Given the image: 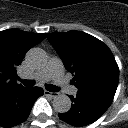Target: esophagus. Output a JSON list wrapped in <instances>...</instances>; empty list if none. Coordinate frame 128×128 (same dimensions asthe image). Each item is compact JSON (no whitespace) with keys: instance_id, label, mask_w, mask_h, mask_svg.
<instances>
[{"instance_id":"34e87169","label":"esophagus","mask_w":128,"mask_h":128,"mask_svg":"<svg viewBox=\"0 0 128 128\" xmlns=\"http://www.w3.org/2000/svg\"><path fill=\"white\" fill-rule=\"evenodd\" d=\"M44 94H45L46 96H50V97L54 98V97L57 96L58 93H56V92H49V91L45 90V91H44Z\"/></svg>"}]
</instances>
